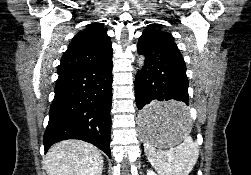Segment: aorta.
<instances>
[{
	"mask_svg": "<svg viewBox=\"0 0 251 175\" xmlns=\"http://www.w3.org/2000/svg\"><path fill=\"white\" fill-rule=\"evenodd\" d=\"M144 64H145L144 56H139L138 62H137L138 70H142Z\"/></svg>",
	"mask_w": 251,
	"mask_h": 175,
	"instance_id": "aorta-1",
	"label": "aorta"
}]
</instances>
